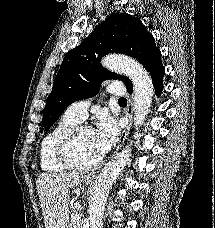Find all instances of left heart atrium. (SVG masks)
<instances>
[{
    "label": "left heart atrium",
    "mask_w": 215,
    "mask_h": 228,
    "mask_svg": "<svg viewBox=\"0 0 215 228\" xmlns=\"http://www.w3.org/2000/svg\"><path fill=\"white\" fill-rule=\"evenodd\" d=\"M118 134L119 129L115 120L108 114H102L94 130V143L101 155L108 152L115 144Z\"/></svg>",
    "instance_id": "1"
}]
</instances>
